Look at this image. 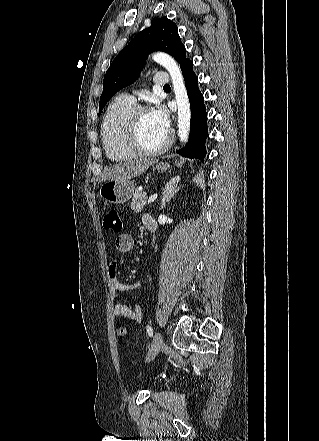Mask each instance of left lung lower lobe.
<instances>
[{
    "label": "left lung lower lobe",
    "instance_id": "1",
    "mask_svg": "<svg viewBox=\"0 0 319 441\" xmlns=\"http://www.w3.org/2000/svg\"><path fill=\"white\" fill-rule=\"evenodd\" d=\"M181 71L185 80L191 107V125L188 143L177 151L183 157L203 160L206 156L205 141L208 137L207 112L203 94L198 88V78L193 71V62L188 60Z\"/></svg>",
    "mask_w": 319,
    "mask_h": 441
}]
</instances>
